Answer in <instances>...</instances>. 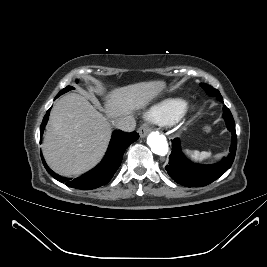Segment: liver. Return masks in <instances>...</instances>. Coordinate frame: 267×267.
<instances>
[{
	"label": "liver",
	"instance_id": "1",
	"mask_svg": "<svg viewBox=\"0 0 267 267\" xmlns=\"http://www.w3.org/2000/svg\"><path fill=\"white\" fill-rule=\"evenodd\" d=\"M164 87L163 81H150L112 90L106 96L107 117L79 94L60 98L51 110L42 145L50 168L64 176H78L93 168L111 138L108 118L116 119L145 108Z\"/></svg>",
	"mask_w": 267,
	"mask_h": 267
}]
</instances>
